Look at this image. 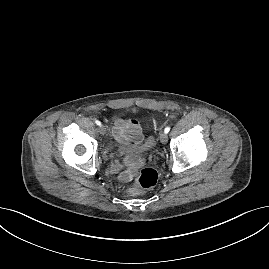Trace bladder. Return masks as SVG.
I'll list each match as a JSON object with an SVG mask.
<instances>
[{"instance_id":"obj_1","label":"bladder","mask_w":269,"mask_h":269,"mask_svg":"<svg viewBox=\"0 0 269 269\" xmlns=\"http://www.w3.org/2000/svg\"><path fill=\"white\" fill-rule=\"evenodd\" d=\"M155 146V138L153 135H148L141 143L135 145L132 147V150L134 152H142V153H148L150 152ZM120 151L124 152L127 149L124 146L118 147Z\"/></svg>"}]
</instances>
